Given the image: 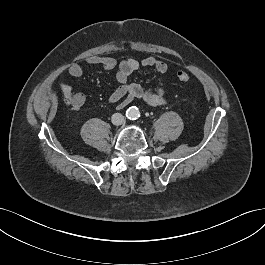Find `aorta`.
<instances>
[{
  "label": "aorta",
  "instance_id": "aorta-1",
  "mask_svg": "<svg viewBox=\"0 0 265 265\" xmlns=\"http://www.w3.org/2000/svg\"><path fill=\"white\" fill-rule=\"evenodd\" d=\"M139 110L137 107H130L126 111V116L130 119H136L139 116Z\"/></svg>",
  "mask_w": 265,
  "mask_h": 265
}]
</instances>
